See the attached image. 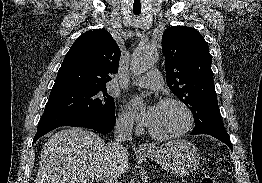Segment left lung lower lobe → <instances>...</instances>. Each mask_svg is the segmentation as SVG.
Wrapping results in <instances>:
<instances>
[{"label": "left lung lower lobe", "instance_id": "obj_1", "mask_svg": "<svg viewBox=\"0 0 262 183\" xmlns=\"http://www.w3.org/2000/svg\"><path fill=\"white\" fill-rule=\"evenodd\" d=\"M196 134H208L211 135L215 138H217L218 140L224 142L225 144H227L230 149L232 150V144L230 141V137L228 135V133L226 132L225 129H211V130H204V131H200V132H191V135H196Z\"/></svg>", "mask_w": 262, "mask_h": 183}]
</instances>
